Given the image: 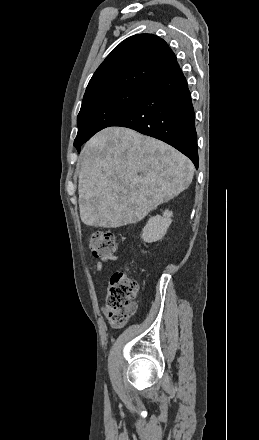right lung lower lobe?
<instances>
[{
	"instance_id": "1",
	"label": "right lung lower lobe",
	"mask_w": 259,
	"mask_h": 440,
	"mask_svg": "<svg viewBox=\"0 0 259 440\" xmlns=\"http://www.w3.org/2000/svg\"><path fill=\"white\" fill-rule=\"evenodd\" d=\"M110 126L131 128L162 140L189 157L198 168L195 114L186 78L178 64Z\"/></svg>"
}]
</instances>
